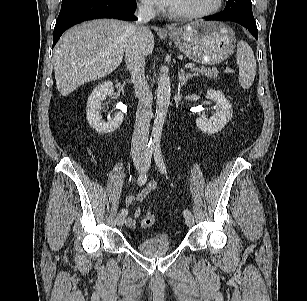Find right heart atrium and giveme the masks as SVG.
I'll list each match as a JSON object with an SVG mask.
<instances>
[{
    "label": "right heart atrium",
    "instance_id": "right-heart-atrium-1",
    "mask_svg": "<svg viewBox=\"0 0 307 301\" xmlns=\"http://www.w3.org/2000/svg\"><path fill=\"white\" fill-rule=\"evenodd\" d=\"M140 8L146 12H152L153 6L150 3V0H141Z\"/></svg>",
    "mask_w": 307,
    "mask_h": 301
}]
</instances>
